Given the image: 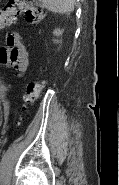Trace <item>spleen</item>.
Instances as JSON below:
<instances>
[{"instance_id":"spleen-1","label":"spleen","mask_w":119,"mask_h":185,"mask_svg":"<svg viewBox=\"0 0 119 185\" xmlns=\"http://www.w3.org/2000/svg\"><path fill=\"white\" fill-rule=\"evenodd\" d=\"M43 7L54 13H70L74 10L76 0H39Z\"/></svg>"}]
</instances>
